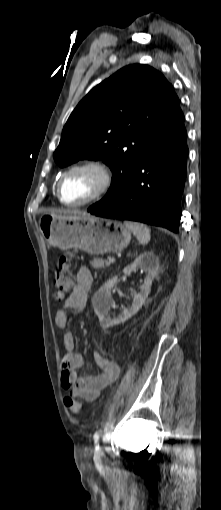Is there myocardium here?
<instances>
[{"mask_svg": "<svg viewBox=\"0 0 221 510\" xmlns=\"http://www.w3.org/2000/svg\"><path fill=\"white\" fill-rule=\"evenodd\" d=\"M76 171H91L95 173L97 176V186L93 193L86 199L79 202L69 203L62 198V184L66 177ZM112 182V171L105 162L99 159H87L71 165L63 172L57 183V197L59 201L67 207L86 206L104 197L110 190Z\"/></svg>", "mask_w": 221, "mask_h": 510, "instance_id": "f54148a6", "label": "myocardium"}]
</instances>
